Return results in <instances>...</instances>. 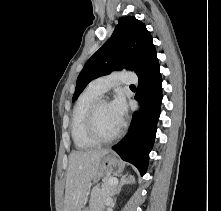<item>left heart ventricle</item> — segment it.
I'll use <instances>...</instances> for the list:
<instances>
[{
    "label": "left heart ventricle",
    "instance_id": "obj_1",
    "mask_svg": "<svg viewBox=\"0 0 221 211\" xmlns=\"http://www.w3.org/2000/svg\"><path fill=\"white\" fill-rule=\"evenodd\" d=\"M96 124L98 132L104 137H109L119 130L120 125L116 121L108 102L103 103L99 107Z\"/></svg>",
    "mask_w": 221,
    "mask_h": 211
}]
</instances>
